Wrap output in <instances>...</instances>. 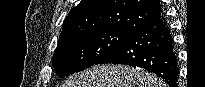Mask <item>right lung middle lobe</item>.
Listing matches in <instances>:
<instances>
[{
    "label": "right lung middle lobe",
    "instance_id": "right-lung-middle-lobe-1",
    "mask_svg": "<svg viewBox=\"0 0 205 87\" xmlns=\"http://www.w3.org/2000/svg\"><path fill=\"white\" fill-rule=\"evenodd\" d=\"M131 34L127 30L102 29L70 37L58 43L53 55V68L62 78L82 71L97 64Z\"/></svg>",
    "mask_w": 205,
    "mask_h": 87
}]
</instances>
